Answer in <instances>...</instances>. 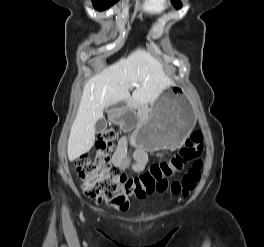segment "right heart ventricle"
<instances>
[{
    "label": "right heart ventricle",
    "mask_w": 264,
    "mask_h": 247,
    "mask_svg": "<svg viewBox=\"0 0 264 247\" xmlns=\"http://www.w3.org/2000/svg\"><path fill=\"white\" fill-rule=\"evenodd\" d=\"M144 9L151 14H163L170 9V2L169 0H145Z\"/></svg>",
    "instance_id": "obj_1"
}]
</instances>
